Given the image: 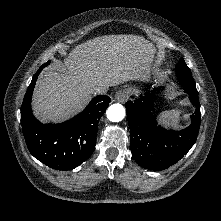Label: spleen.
<instances>
[{"label": "spleen", "mask_w": 221, "mask_h": 221, "mask_svg": "<svg viewBox=\"0 0 221 221\" xmlns=\"http://www.w3.org/2000/svg\"><path fill=\"white\" fill-rule=\"evenodd\" d=\"M182 111L180 109H173L170 111H163L159 114V121L164 126L167 127H176L178 126L180 120Z\"/></svg>", "instance_id": "obj_1"}]
</instances>
